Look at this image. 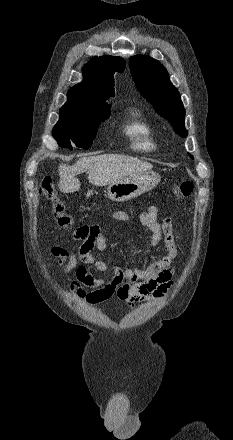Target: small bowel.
I'll use <instances>...</instances> for the list:
<instances>
[{"label":"small bowel","instance_id":"1","mask_svg":"<svg viewBox=\"0 0 233 440\" xmlns=\"http://www.w3.org/2000/svg\"><path fill=\"white\" fill-rule=\"evenodd\" d=\"M130 219V214L124 211H115L109 218L110 221ZM140 221L151 232V237L144 244V248H154L163 240L168 251L166 256L146 268H110L106 261L95 256V250L101 253L107 250L105 237L107 223L103 226L82 225L76 229L73 239L83 241L77 250V255L62 246L52 248L53 255L67 258L65 272L75 269V278L70 284V290L76 298L88 305H96L116 297L128 306L134 307L138 302L150 298L161 300L171 289L176 273L173 261L178 253V236L172 222L169 218L159 221L158 209L155 206L142 212ZM78 257L83 263L103 274L111 273V280L106 282L103 278L92 275L85 266H79ZM85 287L92 290L87 291Z\"/></svg>","mask_w":233,"mask_h":440}]
</instances>
